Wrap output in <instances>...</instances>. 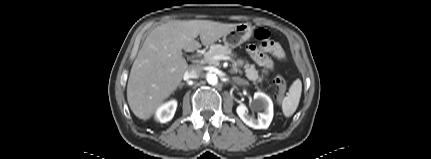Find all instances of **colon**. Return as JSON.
Segmentation results:
<instances>
[{
  "instance_id": "1",
  "label": "colon",
  "mask_w": 431,
  "mask_h": 159,
  "mask_svg": "<svg viewBox=\"0 0 431 159\" xmlns=\"http://www.w3.org/2000/svg\"><path fill=\"white\" fill-rule=\"evenodd\" d=\"M255 38L264 45H272L273 41L270 39V33L268 30L259 28L255 31ZM274 84L277 90V98L282 99L286 92L287 83L282 76H276Z\"/></svg>"
}]
</instances>
